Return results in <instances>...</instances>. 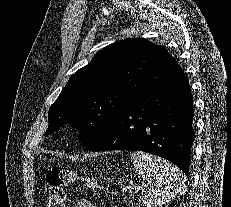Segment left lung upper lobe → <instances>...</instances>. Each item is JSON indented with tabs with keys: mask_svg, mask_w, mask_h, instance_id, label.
Masks as SVG:
<instances>
[{
	"mask_svg": "<svg viewBox=\"0 0 231 207\" xmlns=\"http://www.w3.org/2000/svg\"><path fill=\"white\" fill-rule=\"evenodd\" d=\"M166 49L142 38L105 47L72 75L48 113L50 134L63 124L79 132L81 145L93 146L119 113L147 86Z\"/></svg>",
	"mask_w": 231,
	"mask_h": 207,
	"instance_id": "obj_1",
	"label": "left lung upper lobe"
}]
</instances>
